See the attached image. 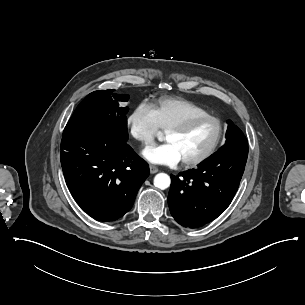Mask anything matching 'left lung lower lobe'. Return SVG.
<instances>
[{"label": "left lung lower lobe", "mask_w": 305, "mask_h": 305, "mask_svg": "<svg viewBox=\"0 0 305 305\" xmlns=\"http://www.w3.org/2000/svg\"><path fill=\"white\" fill-rule=\"evenodd\" d=\"M247 156L248 147L219 150L197 169L172 176L168 205L174 219L198 228L222 214L238 190Z\"/></svg>", "instance_id": "obj_1"}]
</instances>
